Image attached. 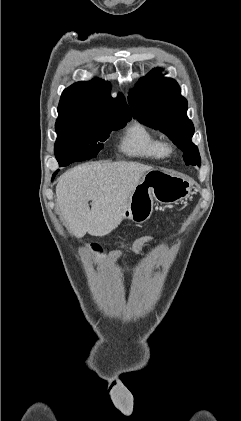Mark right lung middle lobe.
I'll return each instance as SVG.
<instances>
[{"label": "right lung middle lobe", "mask_w": 241, "mask_h": 421, "mask_svg": "<svg viewBox=\"0 0 241 421\" xmlns=\"http://www.w3.org/2000/svg\"><path fill=\"white\" fill-rule=\"evenodd\" d=\"M130 118H100L93 122L57 120L55 156L59 166L95 158L113 130L123 128Z\"/></svg>", "instance_id": "1"}]
</instances>
